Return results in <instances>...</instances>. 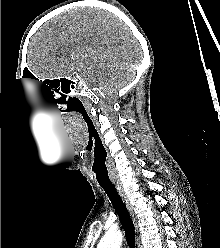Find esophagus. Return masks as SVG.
Instances as JSON below:
<instances>
[{"label": "esophagus", "mask_w": 220, "mask_h": 248, "mask_svg": "<svg viewBox=\"0 0 220 248\" xmlns=\"http://www.w3.org/2000/svg\"><path fill=\"white\" fill-rule=\"evenodd\" d=\"M116 189H117L120 197L122 198L123 202L125 203L128 211L130 212V214H131V216L133 218V221L135 223L136 218H135V215H134L133 207L131 205V202H130L129 198L125 194L123 187L120 184H116ZM136 229H137V226H136ZM136 244H137V248H142L139 238L137 239Z\"/></svg>", "instance_id": "obj_1"}]
</instances>
